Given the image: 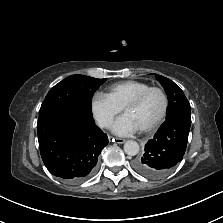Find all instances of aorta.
Listing matches in <instances>:
<instances>
[{"label": "aorta", "mask_w": 223, "mask_h": 223, "mask_svg": "<svg viewBox=\"0 0 223 223\" xmlns=\"http://www.w3.org/2000/svg\"><path fill=\"white\" fill-rule=\"evenodd\" d=\"M124 152L130 156L137 155L139 152V144L133 140L126 141L124 144Z\"/></svg>", "instance_id": "762f6f07"}]
</instances>
